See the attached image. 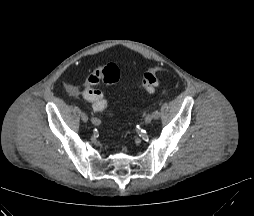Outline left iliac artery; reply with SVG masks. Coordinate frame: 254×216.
Instances as JSON below:
<instances>
[{
  "mask_svg": "<svg viewBox=\"0 0 254 216\" xmlns=\"http://www.w3.org/2000/svg\"><path fill=\"white\" fill-rule=\"evenodd\" d=\"M160 111L158 109H155L153 112H152V116L154 119H158L160 117Z\"/></svg>",
  "mask_w": 254,
  "mask_h": 216,
  "instance_id": "left-iliac-artery-1",
  "label": "left iliac artery"
}]
</instances>
